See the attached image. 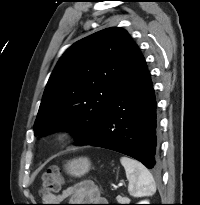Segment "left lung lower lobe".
Here are the masks:
<instances>
[{
	"label": "left lung lower lobe",
	"mask_w": 200,
	"mask_h": 205,
	"mask_svg": "<svg viewBox=\"0 0 200 205\" xmlns=\"http://www.w3.org/2000/svg\"><path fill=\"white\" fill-rule=\"evenodd\" d=\"M83 145L158 165L156 100L146 62L136 46L117 83L112 103L93 138Z\"/></svg>",
	"instance_id": "0a47b994"
}]
</instances>
